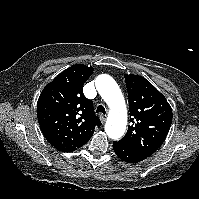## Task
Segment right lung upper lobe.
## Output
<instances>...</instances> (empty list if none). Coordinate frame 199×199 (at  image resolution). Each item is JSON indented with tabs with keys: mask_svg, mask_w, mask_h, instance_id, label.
Returning <instances> with one entry per match:
<instances>
[{
	"mask_svg": "<svg viewBox=\"0 0 199 199\" xmlns=\"http://www.w3.org/2000/svg\"><path fill=\"white\" fill-rule=\"evenodd\" d=\"M93 68L76 64L45 86L37 102V117L47 141L58 151L71 152L92 137L101 122L93 103L83 92V85Z\"/></svg>",
	"mask_w": 199,
	"mask_h": 199,
	"instance_id": "right-lung-upper-lobe-1",
	"label": "right lung upper lobe"
}]
</instances>
